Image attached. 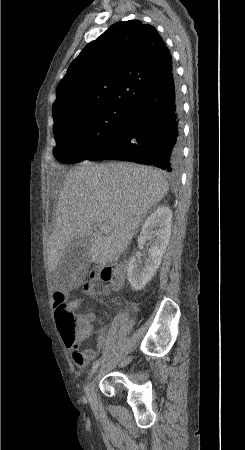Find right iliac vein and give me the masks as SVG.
Instances as JSON below:
<instances>
[{
	"label": "right iliac vein",
	"instance_id": "1",
	"mask_svg": "<svg viewBox=\"0 0 245 450\" xmlns=\"http://www.w3.org/2000/svg\"><path fill=\"white\" fill-rule=\"evenodd\" d=\"M97 375H95L93 378H92V380H91V382H90V384H89V388H88V397H89V399L90 400H95V387H96V382H97Z\"/></svg>",
	"mask_w": 245,
	"mask_h": 450
}]
</instances>
